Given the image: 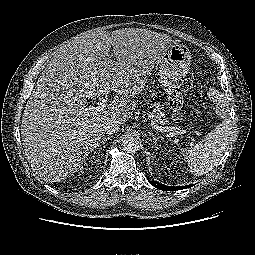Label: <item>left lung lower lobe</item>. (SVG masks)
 I'll return each instance as SVG.
<instances>
[{
  "mask_svg": "<svg viewBox=\"0 0 255 255\" xmlns=\"http://www.w3.org/2000/svg\"><path fill=\"white\" fill-rule=\"evenodd\" d=\"M148 181L150 182L151 185L163 191L182 190L192 186V185H187V186L173 187V186H166V185L160 184L159 182H156V181H150V180Z\"/></svg>",
  "mask_w": 255,
  "mask_h": 255,
  "instance_id": "obj_1",
  "label": "left lung lower lobe"
}]
</instances>
